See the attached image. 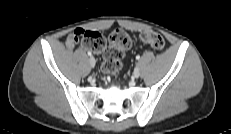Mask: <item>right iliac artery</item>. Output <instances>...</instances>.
Wrapping results in <instances>:
<instances>
[{
    "instance_id": "right-iliac-artery-1",
    "label": "right iliac artery",
    "mask_w": 231,
    "mask_h": 134,
    "mask_svg": "<svg viewBox=\"0 0 231 134\" xmlns=\"http://www.w3.org/2000/svg\"><path fill=\"white\" fill-rule=\"evenodd\" d=\"M89 56H91L92 55V53L90 52V51H88V53H87Z\"/></svg>"
}]
</instances>
